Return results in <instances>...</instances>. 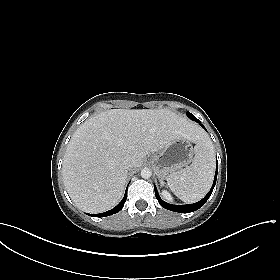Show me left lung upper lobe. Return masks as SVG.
Instances as JSON below:
<instances>
[{"mask_svg": "<svg viewBox=\"0 0 280 280\" xmlns=\"http://www.w3.org/2000/svg\"><path fill=\"white\" fill-rule=\"evenodd\" d=\"M187 116L191 119V116H193L190 112H187ZM195 117V116H194ZM196 118V117H195Z\"/></svg>", "mask_w": 280, "mask_h": 280, "instance_id": "1", "label": "left lung upper lobe"}]
</instances>
